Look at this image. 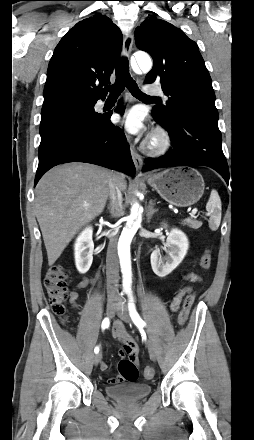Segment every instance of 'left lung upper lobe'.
I'll return each mask as SVG.
<instances>
[{
    "mask_svg": "<svg viewBox=\"0 0 254 440\" xmlns=\"http://www.w3.org/2000/svg\"><path fill=\"white\" fill-rule=\"evenodd\" d=\"M137 47L154 61L146 83H160L169 97L154 113L168 124L177 123L183 110L218 119L212 81L197 44L182 30L155 18L146 19L135 30Z\"/></svg>",
    "mask_w": 254,
    "mask_h": 440,
    "instance_id": "left-lung-upper-lobe-1",
    "label": "left lung upper lobe"
}]
</instances>
